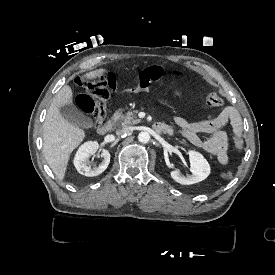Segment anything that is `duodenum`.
<instances>
[{
	"label": "duodenum",
	"mask_w": 275,
	"mask_h": 275,
	"mask_svg": "<svg viewBox=\"0 0 275 275\" xmlns=\"http://www.w3.org/2000/svg\"><path fill=\"white\" fill-rule=\"evenodd\" d=\"M114 126V120L110 119L99 126L98 128V134L101 136L107 135L112 127ZM153 129L157 133H164V134H170V128L165 124L161 122H156L153 124Z\"/></svg>",
	"instance_id": "1"
}]
</instances>
